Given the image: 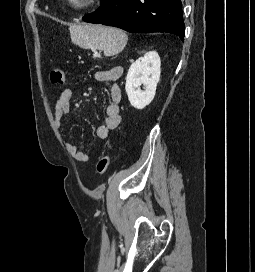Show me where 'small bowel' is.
<instances>
[{
	"mask_svg": "<svg viewBox=\"0 0 255 272\" xmlns=\"http://www.w3.org/2000/svg\"><path fill=\"white\" fill-rule=\"evenodd\" d=\"M123 73L121 67H114L105 71H98L94 77L100 82H116ZM74 92L72 89H64L58 97L54 106V122L57 128H61L65 118L68 115L70 104ZM121 89L117 84H112L110 88V100L106 107L105 121L97 128V136L101 139H107L111 133L116 130L121 123L120 103H121ZM69 152L73 155L76 161L86 163L89 161V154L78 149L75 144L68 145Z\"/></svg>",
	"mask_w": 255,
	"mask_h": 272,
	"instance_id": "1",
	"label": "small bowel"
}]
</instances>
